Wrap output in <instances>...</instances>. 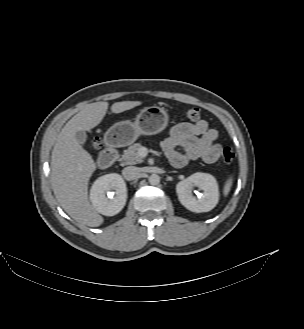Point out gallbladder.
Wrapping results in <instances>:
<instances>
[{"mask_svg":"<svg viewBox=\"0 0 304 329\" xmlns=\"http://www.w3.org/2000/svg\"><path fill=\"white\" fill-rule=\"evenodd\" d=\"M75 137L80 144H84L87 139V135L84 131H77Z\"/></svg>","mask_w":304,"mask_h":329,"instance_id":"bac80fb5","label":"gallbladder"}]
</instances>
